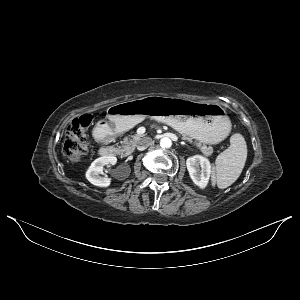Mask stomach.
Returning <instances> with one entry per match:
<instances>
[{"mask_svg": "<svg viewBox=\"0 0 300 300\" xmlns=\"http://www.w3.org/2000/svg\"><path fill=\"white\" fill-rule=\"evenodd\" d=\"M146 117L207 144L222 142L231 130L226 111L219 104L157 95L114 104L107 109L109 122L100 123L108 134H117L133 128Z\"/></svg>", "mask_w": 300, "mask_h": 300, "instance_id": "1", "label": "stomach"}]
</instances>
